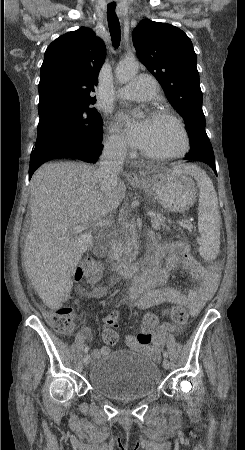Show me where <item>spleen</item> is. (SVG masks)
<instances>
[{
    "mask_svg": "<svg viewBox=\"0 0 245 450\" xmlns=\"http://www.w3.org/2000/svg\"><path fill=\"white\" fill-rule=\"evenodd\" d=\"M183 171L193 176L199 188L198 229L200 232L199 253L207 261L217 257L220 248L221 216L217 194L210 177L200 168L183 166Z\"/></svg>",
    "mask_w": 245,
    "mask_h": 450,
    "instance_id": "3e777b00",
    "label": "spleen"
}]
</instances>
